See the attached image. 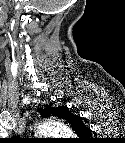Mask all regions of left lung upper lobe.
<instances>
[{"label":"left lung upper lobe","instance_id":"1","mask_svg":"<svg viewBox=\"0 0 125 143\" xmlns=\"http://www.w3.org/2000/svg\"><path fill=\"white\" fill-rule=\"evenodd\" d=\"M66 108L67 107H65V106H62V107L46 106V108L44 110L39 109V111L41 112L42 117L55 116V117L64 119V116L66 113ZM72 128L78 136L85 134V133H89V131H90V129L88 127H86L82 123V121L79 123H76L75 125H72Z\"/></svg>","mask_w":125,"mask_h":143}]
</instances>
